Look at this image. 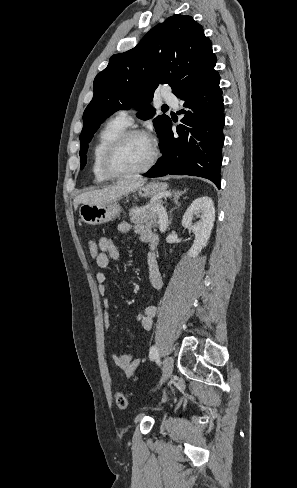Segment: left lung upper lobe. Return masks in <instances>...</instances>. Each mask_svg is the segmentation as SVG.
<instances>
[{
  "instance_id": "left-lung-upper-lobe-1",
  "label": "left lung upper lobe",
  "mask_w": 297,
  "mask_h": 488,
  "mask_svg": "<svg viewBox=\"0 0 297 488\" xmlns=\"http://www.w3.org/2000/svg\"><path fill=\"white\" fill-rule=\"evenodd\" d=\"M216 61L202 26L180 14L152 28L132 50L111 56L94 80V96L83 114L81 168L86 164L88 143L110 115L134 105L140 110L139 118H152L155 109L148 104L158 85L169 84L181 98L215 72ZM170 121L165 114L153 120L160 142Z\"/></svg>"
}]
</instances>
